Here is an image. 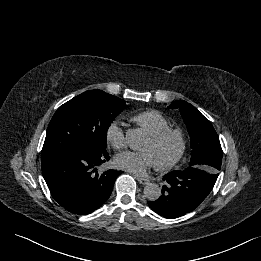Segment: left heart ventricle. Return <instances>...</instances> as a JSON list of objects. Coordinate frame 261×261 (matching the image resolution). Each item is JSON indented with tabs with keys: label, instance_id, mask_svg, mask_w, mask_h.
<instances>
[{
	"label": "left heart ventricle",
	"instance_id": "1",
	"mask_svg": "<svg viewBox=\"0 0 261 261\" xmlns=\"http://www.w3.org/2000/svg\"><path fill=\"white\" fill-rule=\"evenodd\" d=\"M178 141L176 138H170L162 144H154L150 139L143 147L144 151H150L154 154L157 163H163L171 159L177 152Z\"/></svg>",
	"mask_w": 261,
	"mask_h": 261
}]
</instances>
